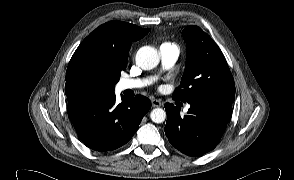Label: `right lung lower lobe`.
<instances>
[{"label": "right lung lower lobe", "mask_w": 294, "mask_h": 180, "mask_svg": "<svg viewBox=\"0 0 294 180\" xmlns=\"http://www.w3.org/2000/svg\"><path fill=\"white\" fill-rule=\"evenodd\" d=\"M121 99L116 103L112 92L69 102V118L86 146L99 152L110 151L126 144L135 134L151 102L141 95Z\"/></svg>", "instance_id": "1"}]
</instances>
